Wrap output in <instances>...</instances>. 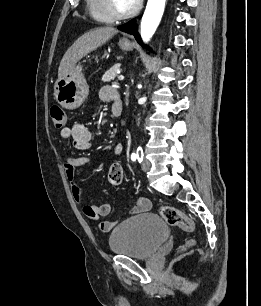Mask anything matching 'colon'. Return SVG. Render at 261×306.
I'll return each mask as SVG.
<instances>
[{"label":"colon","mask_w":261,"mask_h":306,"mask_svg":"<svg viewBox=\"0 0 261 306\" xmlns=\"http://www.w3.org/2000/svg\"><path fill=\"white\" fill-rule=\"evenodd\" d=\"M52 123L56 129H64L66 126V114L58 105H53L50 109ZM123 165L120 162H114L109 167L108 182L112 187H118L123 179ZM163 219L171 226L191 232L194 229V223L191 218L185 215L179 209L172 206H163L160 210ZM187 243L186 245H189Z\"/></svg>","instance_id":"5ec220e1"}]
</instances>
